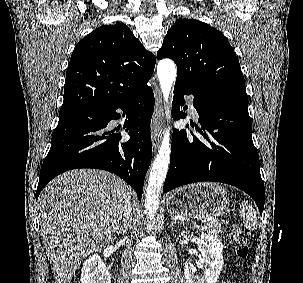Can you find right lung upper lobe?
<instances>
[{
  "mask_svg": "<svg viewBox=\"0 0 303 283\" xmlns=\"http://www.w3.org/2000/svg\"><path fill=\"white\" fill-rule=\"evenodd\" d=\"M156 59L124 24L101 26L74 48L59 118L89 113L147 85Z\"/></svg>",
  "mask_w": 303,
  "mask_h": 283,
  "instance_id": "1",
  "label": "right lung upper lobe"
}]
</instances>
